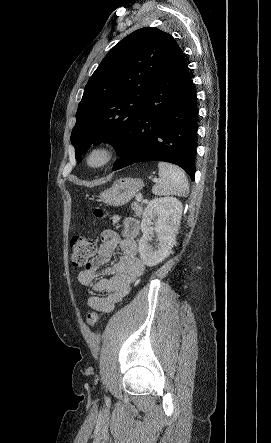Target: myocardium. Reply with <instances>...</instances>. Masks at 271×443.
<instances>
[{
	"label": "myocardium",
	"instance_id": "myocardium-1",
	"mask_svg": "<svg viewBox=\"0 0 271 443\" xmlns=\"http://www.w3.org/2000/svg\"><path fill=\"white\" fill-rule=\"evenodd\" d=\"M94 150H102L104 153L103 161L96 166H89L87 164V158ZM118 156V146L113 138H101L92 141L85 149L82 156L83 166L90 171L102 170L111 165Z\"/></svg>",
	"mask_w": 271,
	"mask_h": 443
}]
</instances>
